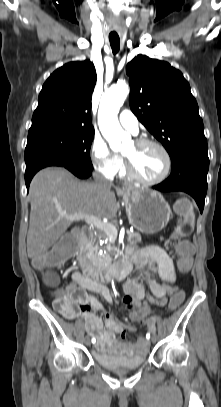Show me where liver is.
<instances>
[{"instance_id": "6515ba94", "label": "liver", "mask_w": 221, "mask_h": 407, "mask_svg": "<svg viewBox=\"0 0 221 407\" xmlns=\"http://www.w3.org/2000/svg\"><path fill=\"white\" fill-rule=\"evenodd\" d=\"M112 185L81 182L68 170L49 167L31 181V211L27 234V253L33 260L45 253L66 232L71 214H90L112 219L117 212ZM135 188L128 187L127 190Z\"/></svg>"}]
</instances>
